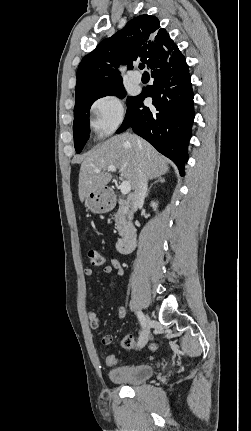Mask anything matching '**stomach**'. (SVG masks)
Masks as SVG:
<instances>
[{"label": "stomach", "mask_w": 251, "mask_h": 431, "mask_svg": "<svg viewBox=\"0 0 251 431\" xmlns=\"http://www.w3.org/2000/svg\"><path fill=\"white\" fill-rule=\"evenodd\" d=\"M85 206L95 214H103L112 210L114 199L108 189L90 192L85 198Z\"/></svg>", "instance_id": "obj_1"}]
</instances>
